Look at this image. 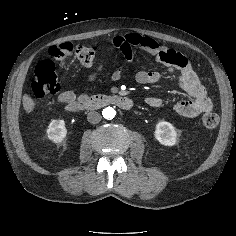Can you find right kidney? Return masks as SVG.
Masks as SVG:
<instances>
[{
    "mask_svg": "<svg viewBox=\"0 0 236 236\" xmlns=\"http://www.w3.org/2000/svg\"><path fill=\"white\" fill-rule=\"evenodd\" d=\"M67 135L64 120H53L47 129V136L55 143H61Z\"/></svg>",
    "mask_w": 236,
    "mask_h": 236,
    "instance_id": "right-kidney-1",
    "label": "right kidney"
}]
</instances>
